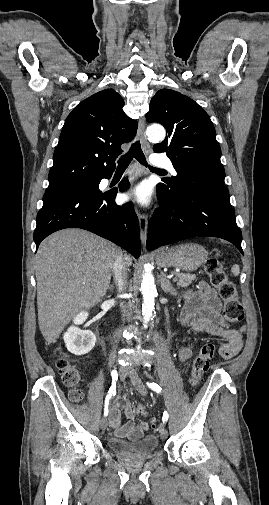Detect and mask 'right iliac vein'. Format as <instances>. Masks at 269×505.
Masks as SVG:
<instances>
[{
  "mask_svg": "<svg viewBox=\"0 0 269 505\" xmlns=\"http://www.w3.org/2000/svg\"><path fill=\"white\" fill-rule=\"evenodd\" d=\"M126 372L127 371L125 367L119 368V374L122 377V379H125ZM107 425H108L107 419L103 417L100 422L101 429L104 431L107 428Z\"/></svg>",
  "mask_w": 269,
  "mask_h": 505,
  "instance_id": "obj_1",
  "label": "right iliac vein"
}]
</instances>
